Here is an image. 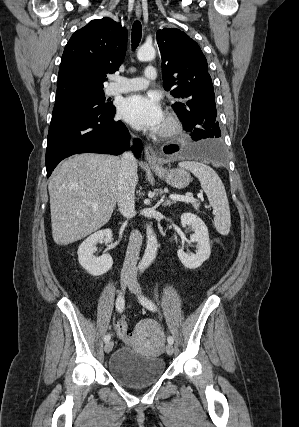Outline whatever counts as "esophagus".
<instances>
[{"label":"esophagus","mask_w":299,"mask_h":427,"mask_svg":"<svg viewBox=\"0 0 299 427\" xmlns=\"http://www.w3.org/2000/svg\"><path fill=\"white\" fill-rule=\"evenodd\" d=\"M141 14H142L141 5L137 4V6H136L137 18H140ZM145 158H146L147 162L149 163V165H151V166H158L159 165V159H158L157 153L151 145L147 144L145 146Z\"/></svg>","instance_id":"obj_1"}]
</instances>
